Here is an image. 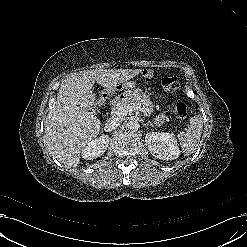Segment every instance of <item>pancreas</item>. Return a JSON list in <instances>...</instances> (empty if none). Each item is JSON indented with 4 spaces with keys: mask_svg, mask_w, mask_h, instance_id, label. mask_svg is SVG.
I'll list each match as a JSON object with an SVG mask.
<instances>
[{
    "mask_svg": "<svg viewBox=\"0 0 247 247\" xmlns=\"http://www.w3.org/2000/svg\"><path fill=\"white\" fill-rule=\"evenodd\" d=\"M124 105L138 107L145 117H149L154 110V105L151 100L139 90H135V93L130 97L113 101L114 108Z\"/></svg>",
    "mask_w": 247,
    "mask_h": 247,
    "instance_id": "pancreas-1",
    "label": "pancreas"
}]
</instances>
